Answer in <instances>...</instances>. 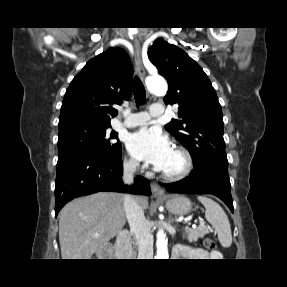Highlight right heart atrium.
I'll list each match as a JSON object with an SVG mask.
<instances>
[{
  "instance_id": "d8ad5b80",
  "label": "right heart atrium",
  "mask_w": 287,
  "mask_h": 287,
  "mask_svg": "<svg viewBox=\"0 0 287 287\" xmlns=\"http://www.w3.org/2000/svg\"><path fill=\"white\" fill-rule=\"evenodd\" d=\"M124 166L127 170L135 171L139 167V164L134 158L128 157L124 160Z\"/></svg>"
}]
</instances>
